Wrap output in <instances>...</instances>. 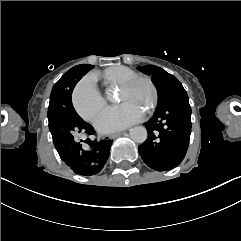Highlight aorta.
<instances>
[{"instance_id":"aorta-1","label":"aorta","mask_w":241,"mask_h":241,"mask_svg":"<svg viewBox=\"0 0 241 241\" xmlns=\"http://www.w3.org/2000/svg\"><path fill=\"white\" fill-rule=\"evenodd\" d=\"M107 94L111 96V92L107 91ZM130 138L136 143H144L147 139L148 133L144 126H136L130 129Z\"/></svg>"}]
</instances>
